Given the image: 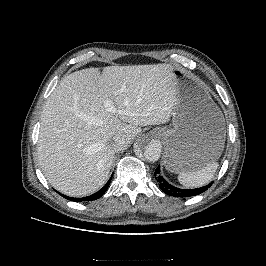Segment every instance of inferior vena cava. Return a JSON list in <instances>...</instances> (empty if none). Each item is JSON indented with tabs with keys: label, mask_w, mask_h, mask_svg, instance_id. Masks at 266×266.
Here are the masks:
<instances>
[{
	"label": "inferior vena cava",
	"mask_w": 266,
	"mask_h": 266,
	"mask_svg": "<svg viewBox=\"0 0 266 266\" xmlns=\"http://www.w3.org/2000/svg\"><path fill=\"white\" fill-rule=\"evenodd\" d=\"M126 145V139L123 136L116 135L109 142V148L113 152L121 151Z\"/></svg>",
	"instance_id": "1"
}]
</instances>
